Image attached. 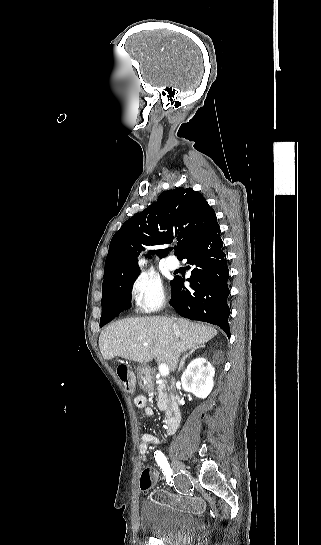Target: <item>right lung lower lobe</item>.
Segmentation results:
<instances>
[{"mask_svg": "<svg viewBox=\"0 0 321 545\" xmlns=\"http://www.w3.org/2000/svg\"><path fill=\"white\" fill-rule=\"evenodd\" d=\"M219 225L193 245L182 259L192 266L190 288L184 287L185 279L175 276L170 282V305L183 317L220 326L230 337L228 317L230 294L227 281L229 270L223 252ZM130 295H111L102 306L104 325L131 307Z\"/></svg>", "mask_w": 321, "mask_h": 545, "instance_id": "obj_1", "label": "right lung lower lobe"}]
</instances>
